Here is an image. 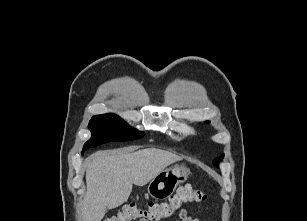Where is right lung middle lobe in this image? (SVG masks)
I'll use <instances>...</instances> for the list:
<instances>
[{
  "label": "right lung middle lobe",
  "mask_w": 307,
  "mask_h": 221,
  "mask_svg": "<svg viewBox=\"0 0 307 221\" xmlns=\"http://www.w3.org/2000/svg\"><path fill=\"white\" fill-rule=\"evenodd\" d=\"M92 137L83 147L82 154L90 147L107 142L129 141L144 136V132L131 128L124 120L114 114L95 115L89 122Z\"/></svg>",
  "instance_id": "1"
}]
</instances>
